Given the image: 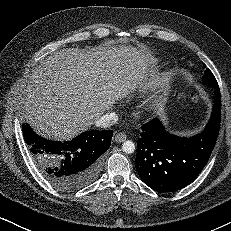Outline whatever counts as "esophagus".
<instances>
[{
  "instance_id": "obj_1",
  "label": "esophagus",
  "mask_w": 231,
  "mask_h": 231,
  "mask_svg": "<svg viewBox=\"0 0 231 231\" xmlns=\"http://www.w3.org/2000/svg\"><path fill=\"white\" fill-rule=\"evenodd\" d=\"M127 136L124 133H118L115 136V141L118 143L124 142L126 140Z\"/></svg>"
}]
</instances>
